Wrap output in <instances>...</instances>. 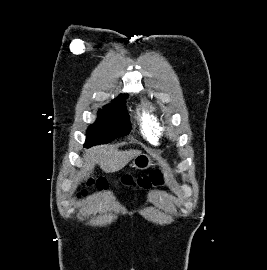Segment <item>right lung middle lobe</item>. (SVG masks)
<instances>
[{
  "instance_id": "dd1d6c3e",
  "label": "right lung middle lobe",
  "mask_w": 267,
  "mask_h": 270,
  "mask_svg": "<svg viewBox=\"0 0 267 270\" xmlns=\"http://www.w3.org/2000/svg\"><path fill=\"white\" fill-rule=\"evenodd\" d=\"M127 97V94H120L111 104L99 111L97 121L87 130L85 146L107 143L129 134L131 124L125 106Z\"/></svg>"
}]
</instances>
